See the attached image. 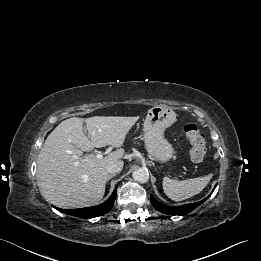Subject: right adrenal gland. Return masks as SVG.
Returning a JSON list of instances; mask_svg holds the SVG:
<instances>
[{
    "instance_id": "2a0ac1e0",
    "label": "right adrenal gland",
    "mask_w": 261,
    "mask_h": 261,
    "mask_svg": "<svg viewBox=\"0 0 261 261\" xmlns=\"http://www.w3.org/2000/svg\"><path fill=\"white\" fill-rule=\"evenodd\" d=\"M112 177H113V175H109L108 180H109L110 178H112ZM108 180H107V181H108Z\"/></svg>"
}]
</instances>
